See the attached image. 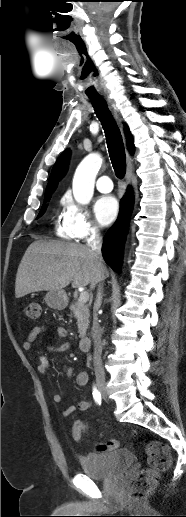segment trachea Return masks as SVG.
Masks as SVG:
<instances>
[{
	"mask_svg": "<svg viewBox=\"0 0 186 517\" xmlns=\"http://www.w3.org/2000/svg\"><path fill=\"white\" fill-rule=\"evenodd\" d=\"M88 97L104 129L115 174L122 179L126 173V155L120 130L108 109L106 101L99 95L89 94Z\"/></svg>",
	"mask_w": 186,
	"mask_h": 517,
	"instance_id": "3493384b",
	"label": "trachea"
}]
</instances>
